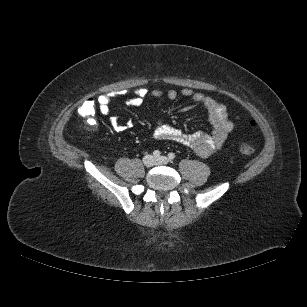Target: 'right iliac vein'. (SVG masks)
Wrapping results in <instances>:
<instances>
[{
    "label": "right iliac vein",
    "mask_w": 307,
    "mask_h": 307,
    "mask_svg": "<svg viewBox=\"0 0 307 307\" xmlns=\"http://www.w3.org/2000/svg\"><path fill=\"white\" fill-rule=\"evenodd\" d=\"M143 163L147 167H151L155 164V159L152 155L148 154L143 158Z\"/></svg>",
    "instance_id": "1"
}]
</instances>
